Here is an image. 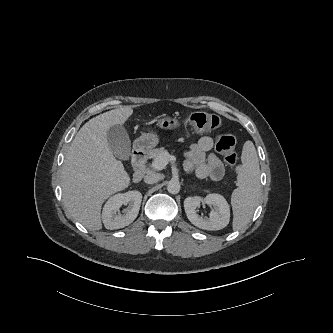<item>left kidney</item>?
Here are the masks:
<instances>
[{
  "label": "left kidney",
  "instance_id": "5707ae66",
  "mask_svg": "<svg viewBox=\"0 0 333 333\" xmlns=\"http://www.w3.org/2000/svg\"><path fill=\"white\" fill-rule=\"evenodd\" d=\"M201 201L213 206L209 218L200 217L196 208L200 207ZM184 209L189 221L204 230H220L226 227L230 220V207L226 199L217 193L208 194L204 199L199 196L187 197L184 200Z\"/></svg>",
  "mask_w": 333,
  "mask_h": 333
}]
</instances>
